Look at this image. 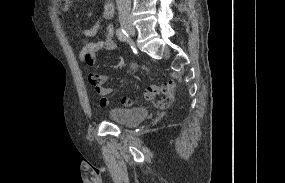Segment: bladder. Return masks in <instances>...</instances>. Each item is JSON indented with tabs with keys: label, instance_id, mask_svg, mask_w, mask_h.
<instances>
[{
	"label": "bladder",
	"instance_id": "31cf9c89",
	"mask_svg": "<svg viewBox=\"0 0 285 183\" xmlns=\"http://www.w3.org/2000/svg\"><path fill=\"white\" fill-rule=\"evenodd\" d=\"M148 112L142 107H113L107 111V116L115 123L123 125H136L146 119Z\"/></svg>",
	"mask_w": 285,
	"mask_h": 183
}]
</instances>
